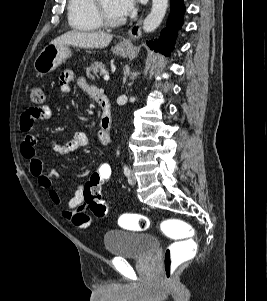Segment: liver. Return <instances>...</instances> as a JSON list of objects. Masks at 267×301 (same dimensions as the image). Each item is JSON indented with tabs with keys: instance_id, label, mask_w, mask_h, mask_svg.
I'll use <instances>...</instances> for the list:
<instances>
[{
	"instance_id": "obj_1",
	"label": "liver",
	"mask_w": 267,
	"mask_h": 301,
	"mask_svg": "<svg viewBox=\"0 0 267 301\" xmlns=\"http://www.w3.org/2000/svg\"><path fill=\"white\" fill-rule=\"evenodd\" d=\"M112 38V35L106 33L72 30L52 40L50 44L72 45L81 48H104L109 45Z\"/></svg>"
}]
</instances>
